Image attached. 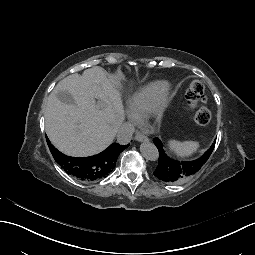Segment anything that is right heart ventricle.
Listing matches in <instances>:
<instances>
[{
    "label": "right heart ventricle",
    "mask_w": 255,
    "mask_h": 255,
    "mask_svg": "<svg viewBox=\"0 0 255 255\" xmlns=\"http://www.w3.org/2000/svg\"><path fill=\"white\" fill-rule=\"evenodd\" d=\"M164 89L163 82H152L131 93L127 98L130 115L140 118L149 113L158 102Z\"/></svg>",
    "instance_id": "1"
}]
</instances>
